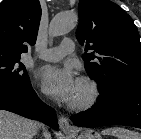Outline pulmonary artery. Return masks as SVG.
Here are the masks:
<instances>
[{
  "label": "pulmonary artery",
  "instance_id": "pulmonary-artery-1",
  "mask_svg": "<svg viewBox=\"0 0 141 139\" xmlns=\"http://www.w3.org/2000/svg\"><path fill=\"white\" fill-rule=\"evenodd\" d=\"M74 49V42L70 39H67L63 40L62 43L57 47L42 50L38 54V57L46 61H59L65 55L72 53Z\"/></svg>",
  "mask_w": 141,
  "mask_h": 139
}]
</instances>
